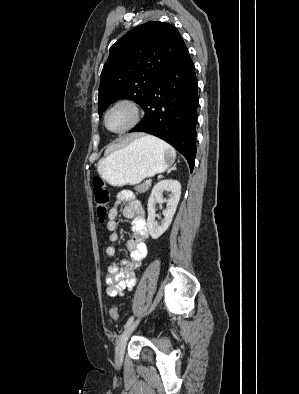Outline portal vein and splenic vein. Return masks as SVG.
<instances>
[{
  "instance_id": "18ae733b",
  "label": "portal vein and splenic vein",
  "mask_w": 299,
  "mask_h": 394,
  "mask_svg": "<svg viewBox=\"0 0 299 394\" xmlns=\"http://www.w3.org/2000/svg\"><path fill=\"white\" fill-rule=\"evenodd\" d=\"M146 184H151V180L150 179L146 180Z\"/></svg>"
}]
</instances>
